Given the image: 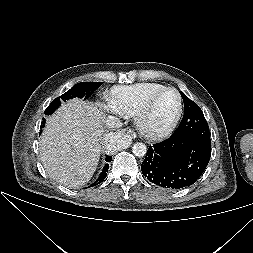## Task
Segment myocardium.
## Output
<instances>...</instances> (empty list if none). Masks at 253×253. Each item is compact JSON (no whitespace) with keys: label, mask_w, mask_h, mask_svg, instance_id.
I'll return each mask as SVG.
<instances>
[{"label":"myocardium","mask_w":253,"mask_h":253,"mask_svg":"<svg viewBox=\"0 0 253 253\" xmlns=\"http://www.w3.org/2000/svg\"><path fill=\"white\" fill-rule=\"evenodd\" d=\"M167 91H172L177 96L178 106H177L176 114L173 117V119L165 127L159 130H150L145 127L144 118L146 114L148 113L149 109L151 108L153 102L156 100V98ZM182 110H183L182 97L179 91L174 87H164L152 93L143 101L141 107L139 108V110L137 111L134 117V123L137 130L146 138L159 139L168 135L176 127L182 115Z\"/></svg>","instance_id":"1"}]
</instances>
